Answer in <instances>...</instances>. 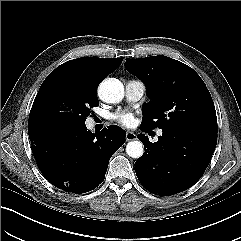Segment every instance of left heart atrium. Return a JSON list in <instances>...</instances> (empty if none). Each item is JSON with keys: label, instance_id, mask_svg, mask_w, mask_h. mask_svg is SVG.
Listing matches in <instances>:
<instances>
[{"label": "left heart atrium", "instance_id": "1", "mask_svg": "<svg viewBox=\"0 0 241 241\" xmlns=\"http://www.w3.org/2000/svg\"><path fill=\"white\" fill-rule=\"evenodd\" d=\"M120 124L124 126H132L134 124V117L131 113H119L114 116Z\"/></svg>", "mask_w": 241, "mask_h": 241}]
</instances>
